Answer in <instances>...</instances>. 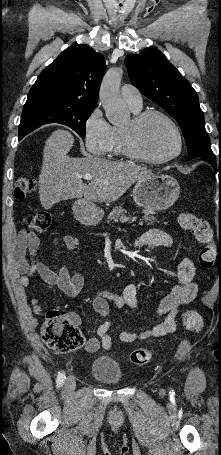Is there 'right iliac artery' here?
<instances>
[{"label":"right iliac artery","mask_w":221,"mask_h":455,"mask_svg":"<svg viewBox=\"0 0 221 455\" xmlns=\"http://www.w3.org/2000/svg\"><path fill=\"white\" fill-rule=\"evenodd\" d=\"M65 379H66L65 374L63 372H59L56 380L57 387H60Z\"/></svg>","instance_id":"1"}]
</instances>
